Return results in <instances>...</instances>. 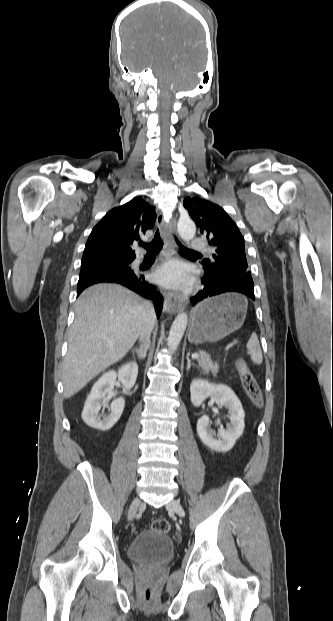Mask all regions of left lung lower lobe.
Returning <instances> with one entry per match:
<instances>
[{"instance_id": "obj_1", "label": "left lung lower lobe", "mask_w": 333, "mask_h": 621, "mask_svg": "<svg viewBox=\"0 0 333 621\" xmlns=\"http://www.w3.org/2000/svg\"><path fill=\"white\" fill-rule=\"evenodd\" d=\"M202 284L204 288L191 298L193 305L225 292H239L255 300L254 283L249 274L230 273L216 276L211 271L204 270Z\"/></svg>"}]
</instances>
